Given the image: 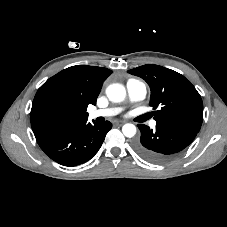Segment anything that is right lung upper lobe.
<instances>
[{"label":"right lung upper lobe","instance_id":"right-lung-upper-lobe-1","mask_svg":"<svg viewBox=\"0 0 227 227\" xmlns=\"http://www.w3.org/2000/svg\"><path fill=\"white\" fill-rule=\"evenodd\" d=\"M111 73V70L102 67L76 65L49 78L38 89L32 104L31 124L34 135L45 130L33 119L34 107L41 97L54 95L66 102L71 109L69 123L87 120V106L96 104L102 83Z\"/></svg>","mask_w":227,"mask_h":227}]
</instances>
